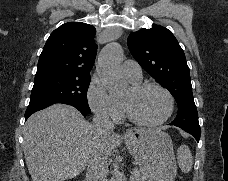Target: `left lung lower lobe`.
I'll return each mask as SVG.
<instances>
[{
	"mask_svg": "<svg viewBox=\"0 0 228 181\" xmlns=\"http://www.w3.org/2000/svg\"><path fill=\"white\" fill-rule=\"evenodd\" d=\"M186 132L190 133L199 142L200 139V128H186Z\"/></svg>",
	"mask_w": 228,
	"mask_h": 181,
	"instance_id": "1",
	"label": "left lung lower lobe"
}]
</instances>
